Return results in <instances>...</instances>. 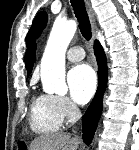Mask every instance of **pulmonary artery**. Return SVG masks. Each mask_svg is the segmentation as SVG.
<instances>
[{"mask_svg":"<svg viewBox=\"0 0 139 150\" xmlns=\"http://www.w3.org/2000/svg\"><path fill=\"white\" fill-rule=\"evenodd\" d=\"M85 57V52L82 47L74 46L67 52V59L72 62L81 61Z\"/></svg>","mask_w":139,"mask_h":150,"instance_id":"pulmonary-artery-1","label":"pulmonary artery"}]
</instances>
